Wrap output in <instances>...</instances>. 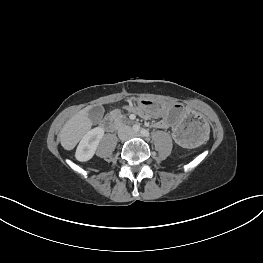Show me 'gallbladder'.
Masks as SVG:
<instances>
[{
    "label": "gallbladder",
    "instance_id": "bac80fb5",
    "mask_svg": "<svg viewBox=\"0 0 263 263\" xmlns=\"http://www.w3.org/2000/svg\"><path fill=\"white\" fill-rule=\"evenodd\" d=\"M104 114V108L100 105L94 106L89 110V118L93 124L100 122Z\"/></svg>",
    "mask_w": 263,
    "mask_h": 263
}]
</instances>
